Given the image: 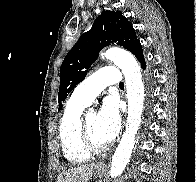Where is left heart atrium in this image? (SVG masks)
I'll list each match as a JSON object with an SVG mask.
<instances>
[{"label": "left heart atrium", "mask_w": 196, "mask_h": 182, "mask_svg": "<svg viewBox=\"0 0 196 182\" xmlns=\"http://www.w3.org/2000/svg\"><path fill=\"white\" fill-rule=\"evenodd\" d=\"M121 125L118 102L108 97L97 115L96 127L105 143L111 142L118 134Z\"/></svg>", "instance_id": "obj_1"}]
</instances>
